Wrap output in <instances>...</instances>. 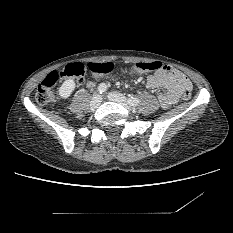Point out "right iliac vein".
Masks as SVG:
<instances>
[{
	"label": "right iliac vein",
	"mask_w": 233,
	"mask_h": 233,
	"mask_svg": "<svg viewBox=\"0 0 233 233\" xmlns=\"http://www.w3.org/2000/svg\"><path fill=\"white\" fill-rule=\"evenodd\" d=\"M101 102H102L101 96H100V95H95V96L92 98L91 102H90V107H91L92 109H96L97 107L100 106Z\"/></svg>",
	"instance_id": "1"
}]
</instances>
